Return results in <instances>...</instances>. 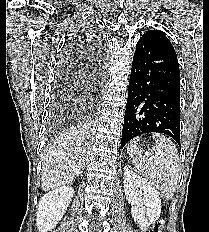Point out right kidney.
Returning a JSON list of instances; mask_svg holds the SVG:
<instances>
[{
    "label": "right kidney",
    "mask_w": 209,
    "mask_h": 232,
    "mask_svg": "<svg viewBox=\"0 0 209 232\" xmlns=\"http://www.w3.org/2000/svg\"><path fill=\"white\" fill-rule=\"evenodd\" d=\"M74 190L69 186L58 187L45 194L38 203L36 226L39 232L53 229L65 214Z\"/></svg>",
    "instance_id": "ca27d5eb"
}]
</instances>
